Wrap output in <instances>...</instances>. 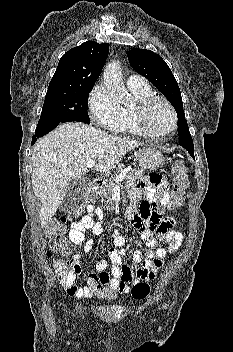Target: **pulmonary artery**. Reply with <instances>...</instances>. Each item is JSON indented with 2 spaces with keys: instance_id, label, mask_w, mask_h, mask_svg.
I'll return each instance as SVG.
<instances>
[{
  "instance_id": "e3ab8cb5",
  "label": "pulmonary artery",
  "mask_w": 233,
  "mask_h": 352,
  "mask_svg": "<svg viewBox=\"0 0 233 352\" xmlns=\"http://www.w3.org/2000/svg\"><path fill=\"white\" fill-rule=\"evenodd\" d=\"M145 84H146L145 78L140 75L133 74L127 78L128 86H141Z\"/></svg>"
}]
</instances>
